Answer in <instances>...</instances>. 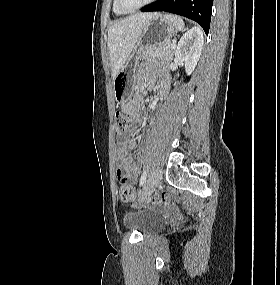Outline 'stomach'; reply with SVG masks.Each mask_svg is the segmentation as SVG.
<instances>
[{
  "mask_svg": "<svg viewBox=\"0 0 280 285\" xmlns=\"http://www.w3.org/2000/svg\"><path fill=\"white\" fill-rule=\"evenodd\" d=\"M177 27L166 16L153 17L143 29L134 51L128 57L113 81L114 96L117 102L126 103L133 94V78L138 61L143 52L152 46L170 40L177 32Z\"/></svg>",
  "mask_w": 280,
  "mask_h": 285,
  "instance_id": "stomach-1",
  "label": "stomach"
}]
</instances>
